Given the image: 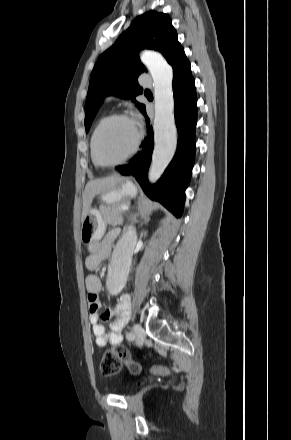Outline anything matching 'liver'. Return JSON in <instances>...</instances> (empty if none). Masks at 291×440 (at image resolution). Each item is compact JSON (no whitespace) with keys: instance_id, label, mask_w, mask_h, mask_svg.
I'll return each instance as SVG.
<instances>
[{"instance_id":"1","label":"liver","mask_w":291,"mask_h":440,"mask_svg":"<svg viewBox=\"0 0 291 440\" xmlns=\"http://www.w3.org/2000/svg\"><path fill=\"white\" fill-rule=\"evenodd\" d=\"M123 179V177L116 174L102 179L91 180L87 183L83 194L82 221L87 215L95 195L113 189Z\"/></svg>"}]
</instances>
